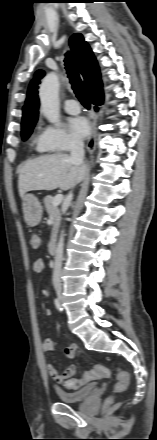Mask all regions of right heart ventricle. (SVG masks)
Returning <instances> with one entry per match:
<instances>
[{"instance_id": "1", "label": "right heart ventricle", "mask_w": 157, "mask_h": 440, "mask_svg": "<svg viewBox=\"0 0 157 440\" xmlns=\"http://www.w3.org/2000/svg\"><path fill=\"white\" fill-rule=\"evenodd\" d=\"M33 144L37 151L41 153H48L51 149L45 144L43 133H37L33 137Z\"/></svg>"}]
</instances>
